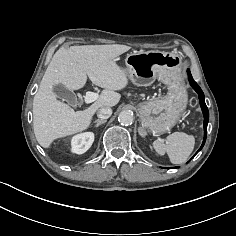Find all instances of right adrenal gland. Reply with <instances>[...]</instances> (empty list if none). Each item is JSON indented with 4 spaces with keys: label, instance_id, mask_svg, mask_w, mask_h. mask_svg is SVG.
I'll list each match as a JSON object with an SVG mask.
<instances>
[{
    "label": "right adrenal gland",
    "instance_id": "1",
    "mask_svg": "<svg viewBox=\"0 0 236 236\" xmlns=\"http://www.w3.org/2000/svg\"><path fill=\"white\" fill-rule=\"evenodd\" d=\"M107 122V120L105 119V120H95L94 121V123H96V127H99L100 125H102V124H104V123H106Z\"/></svg>",
    "mask_w": 236,
    "mask_h": 236
}]
</instances>
